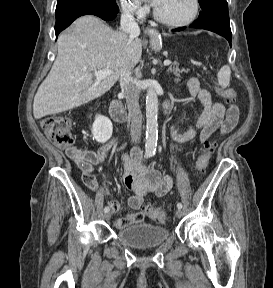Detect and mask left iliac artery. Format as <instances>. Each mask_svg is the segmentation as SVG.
Returning <instances> with one entry per match:
<instances>
[{
    "label": "left iliac artery",
    "mask_w": 273,
    "mask_h": 288,
    "mask_svg": "<svg viewBox=\"0 0 273 288\" xmlns=\"http://www.w3.org/2000/svg\"><path fill=\"white\" fill-rule=\"evenodd\" d=\"M177 207H178L179 209H181V208H182V203L179 202V203L177 204Z\"/></svg>",
    "instance_id": "obj_1"
}]
</instances>
